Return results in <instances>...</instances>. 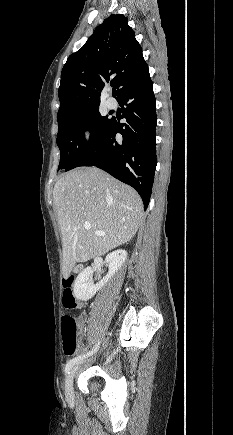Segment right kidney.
I'll use <instances>...</instances> for the list:
<instances>
[{"instance_id":"1","label":"right kidney","mask_w":233,"mask_h":435,"mask_svg":"<svg viewBox=\"0 0 233 435\" xmlns=\"http://www.w3.org/2000/svg\"><path fill=\"white\" fill-rule=\"evenodd\" d=\"M127 257L125 250H116L106 256V263L109 267L108 274L96 285L93 284V269L85 268L76 278L74 283V295L77 299L87 301L91 299L121 268Z\"/></svg>"}]
</instances>
